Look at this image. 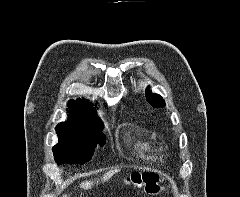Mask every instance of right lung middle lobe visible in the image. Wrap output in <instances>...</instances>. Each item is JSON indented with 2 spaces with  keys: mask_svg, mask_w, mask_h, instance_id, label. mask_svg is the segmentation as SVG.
Masks as SVG:
<instances>
[{
  "mask_svg": "<svg viewBox=\"0 0 240 197\" xmlns=\"http://www.w3.org/2000/svg\"><path fill=\"white\" fill-rule=\"evenodd\" d=\"M100 127H68L55 128L59 143L53 147L55 161L58 165L65 163L84 164L88 162L97 143L101 146L106 141V136Z\"/></svg>",
  "mask_w": 240,
  "mask_h": 197,
  "instance_id": "obj_1",
  "label": "right lung middle lobe"
}]
</instances>
